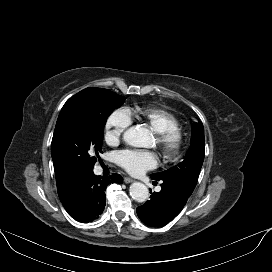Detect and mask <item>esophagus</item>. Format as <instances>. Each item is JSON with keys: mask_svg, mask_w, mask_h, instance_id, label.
I'll list each match as a JSON object with an SVG mask.
<instances>
[{"mask_svg": "<svg viewBox=\"0 0 272 272\" xmlns=\"http://www.w3.org/2000/svg\"><path fill=\"white\" fill-rule=\"evenodd\" d=\"M124 182H125L126 184H129V183L134 182V180L131 179V178H129V177H125V178H124Z\"/></svg>", "mask_w": 272, "mask_h": 272, "instance_id": "esophagus-1", "label": "esophagus"}]
</instances>
